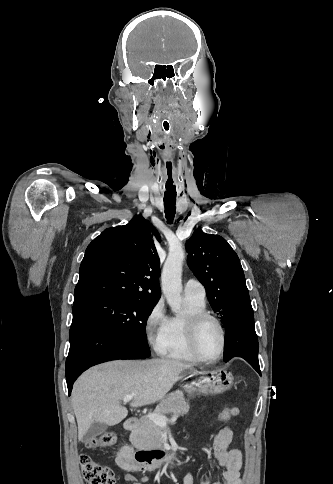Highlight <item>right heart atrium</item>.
Segmentation results:
<instances>
[{
	"mask_svg": "<svg viewBox=\"0 0 333 484\" xmlns=\"http://www.w3.org/2000/svg\"><path fill=\"white\" fill-rule=\"evenodd\" d=\"M168 317L164 302L160 299L150 309L144 321V332L148 343L159 351Z\"/></svg>",
	"mask_w": 333,
	"mask_h": 484,
	"instance_id": "d8ad5b80",
	"label": "right heart atrium"
}]
</instances>
